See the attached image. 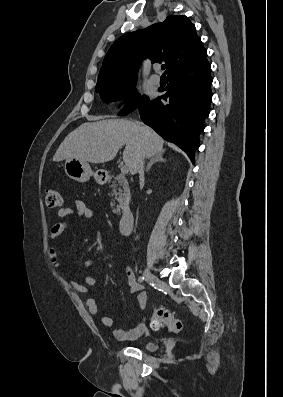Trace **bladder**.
I'll return each instance as SVG.
<instances>
[{
    "label": "bladder",
    "instance_id": "1",
    "mask_svg": "<svg viewBox=\"0 0 283 397\" xmlns=\"http://www.w3.org/2000/svg\"><path fill=\"white\" fill-rule=\"evenodd\" d=\"M142 348L146 351L153 352L157 348V344L154 342H146L142 345Z\"/></svg>",
    "mask_w": 283,
    "mask_h": 397
}]
</instances>
